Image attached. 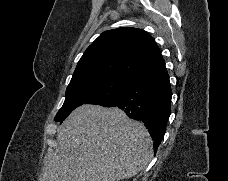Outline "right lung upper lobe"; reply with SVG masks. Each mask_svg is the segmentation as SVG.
<instances>
[{"mask_svg": "<svg viewBox=\"0 0 228 181\" xmlns=\"http://www.w3.org/2000/svg\"><path fill=\"white\" fill-rule=\"evenodd\" d=\"M154 39L141 29L123 27L103 32L85 51L71 81L92 75L134 78L163 63Z\"/></svg>", "mask_w": 228, "mask_h": 181, "instance_id": "obj_1", "label": "right lung upper lobe"}]
</instances>
